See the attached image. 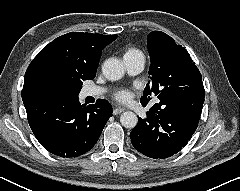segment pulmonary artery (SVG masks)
Here are the masks:
<instances>
[{"label":"pulmonary artery","instance_id":"obj_1","mask_svg":"<svg viewBox=\"0 0 240 191\" xmlns=\"http://www.w3.org/2000/svg\"><path fill=\"white\" fill-rule=\"evenodd\" d=\"M123 62L129 74L135 75L140 73L145 65L143 54H128L123 56ZM106 92L103 87H89L86 90L87 96H99Z\"/></svg>","mask_w":240,"mask_h":191}]
</instances>
